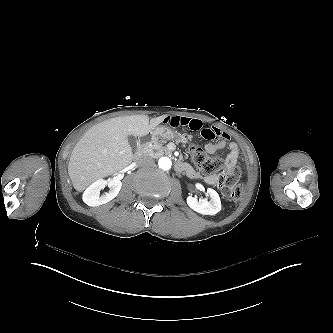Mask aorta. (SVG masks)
<instances>
[{
	"label": "aorta",
	"instance_id": "obj_1",
	"mask_svg": "<svg viewBox=\"0 0 333 333\" xmlns=\"http://www.w3.org/2000/svg\"><path fill=\"white\" fill-rule=\"evenodd\" d=\"M171 164V160L168 157H162L158 161L159 167L164 171L169 170L171 168Z\"/></svg>",
	"mask_w": 333,
	"mask_h": 333
}]
</instances>
